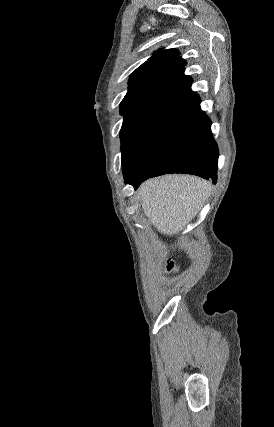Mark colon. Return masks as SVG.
I'll use <instances>...</instances> for the list:
<instances>
[{
	"label": "colon",
	"instance_id": "colon-1",
	"mask_svg": "<svg viewBox=\"0 0 274 427\" xmlns=\"http://www.w3.org/2000/svg\"><path fill=\"white\" fill-rule=\"evenodd\" d=\"M165 270H166V272H170L172 270V262L171 261L166 262Z\"/></svg>",
	"mask_w": 274,
	"mask_h": 427
}]
</instances>
